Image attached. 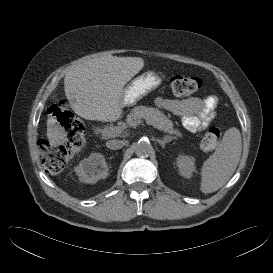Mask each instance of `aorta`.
Here are the masks:
<instances>
[{
    "mask_svg": "<svg viewBox=\"0 0 273 273\" xmlns=\"http://www.w3.org/2000/svg\"><path fill=\"white\" fill-rule=\"evenodd\" d=\"M153 148L149 141L140 140L135 145V154L139 157H147L151 154Z\"/></svg>",
    "mask_w": 273,
    "mask_h": 273,
    "instance_id": "obj_1",
    "label": "aorta"
}]
</instances>
